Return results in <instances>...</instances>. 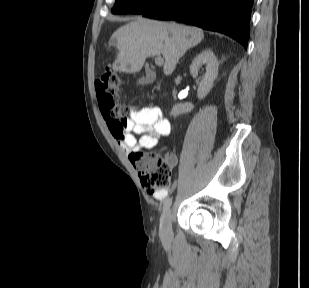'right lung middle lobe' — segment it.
Instances as JSON below:
<instances>
[{"label": "right lung middle lobe", "mask_w": 309, "mask_h": 288, "mask_svg": "<svg viewBox=\"0 0 309 288\" xmlns=\"http://www.w3.org/2000/svg\"><path fill=\"white\" fill-rule=\"evenodd\" d=\"M165 0H116L112 9L113 14L135 13L142 14L154 8Z\"/></svg>", "instance_id": "right-lung-middle-lobe-1"}]
</instances>
